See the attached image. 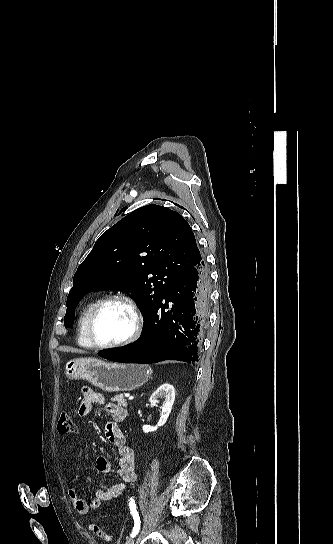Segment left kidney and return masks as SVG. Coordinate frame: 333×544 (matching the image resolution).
I'll use <instances>...</instances> for the list:
<instances>
[{
	"label": "left kidney",
	"instance_id": "left-kidney-1",
	"mask_svg": "<svg viewBox=\"0 0 333 544\" xmlns=\"http://www.w3.org/2000/svg\"><path fill=\"white\" fill-rule=\"evenodd\" d=\"M159 399H163L161 405V415L159 422L156 426L143 425L142 430L144 433L154 432L158 427L163 426L171 413L173 403L175 401V389L172 385L165 383L161 385L150 397L151 404H158Z\"/></svg>",
	"mask_w": 333,
	"mask_h": 544
}]
</instances>
